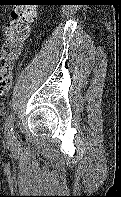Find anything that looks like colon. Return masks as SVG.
<instances>
[{"label": "colon", "instance_id": "5ec220e1", "mask_svg": "<svg viewBox=\"0 0 121 197\" xmlns=\"http://www.w3.org/2000/svg\"><path fill=\"white\" fill-rule=\"evenodd\" d=\"M12 20L6 27L5 39L0 49V95L6 94L12 84L13 62L19 55L29 34L30 25L35 21L37 11L25 0H14Z\"/></svg>", "mask_w": 121, "mask_h": 197}]
</instances>
